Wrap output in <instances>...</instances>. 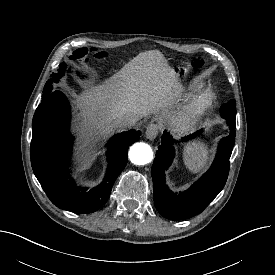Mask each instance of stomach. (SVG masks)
<instances>
[{
  "label": "stomach",
  "mask_w": 275,
  "mask_h": 275,
  "mask_svg": "<svg viewBox=\"0 0 275 275\" xmlns=\"http://www.w3.org/2000/svg\"><path fill=\"white\" fill-rule=\"evenodd\" d=\"M173 70L175 72V76L178 79L180 78V76H185L187 74V69L184 67L178 66V67L174 68Z\"/></svg>",
  "instance_id": "stomach-1"
}]
</instances>
